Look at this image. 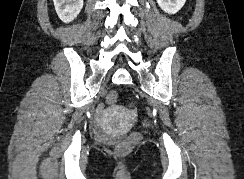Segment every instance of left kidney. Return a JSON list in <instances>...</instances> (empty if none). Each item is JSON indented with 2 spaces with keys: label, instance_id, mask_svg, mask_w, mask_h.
Masks as SVG:
<instances>
[{
  "label": "left kidney",
  "instance_id": "left-kidney-1",
  "mask_svg": "<svg viewBox=\"0 0 244 179\" xmlns=\"http://www.w3.org/2000/svg\"><path fill=\"white\" fill-rule=\"evenodd\" d=\"M185 2L186 0H157L158 6L166 14H176V12L183 8Z\"/></svg>",
  "mask_w": 244,
  "mask_h": 179
}]
</instances>
